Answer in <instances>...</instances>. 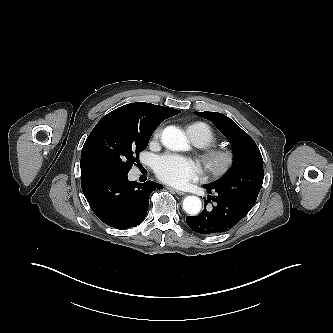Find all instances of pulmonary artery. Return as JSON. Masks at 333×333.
I'll use <instances>...</instances> for the list:
<instances>
[{
	"label": "pulmonary artery",
	"mask_w": 333,
	"mask_h": 333,
	"mask_svg": "<svg viewBox=\"0 0 333 333\" xmlns=\"http://www.w3.org/2000/svg\"><path fill=\"white\" fill-rule=\"evenodd\" d=\"M197 146H200V144L199 143H195Z\"/></svg>",
	"instance_id": "pulmonary-artery-1"
}]
</instances>
